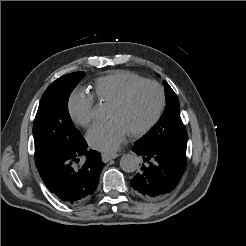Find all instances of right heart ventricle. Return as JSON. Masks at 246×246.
<instances>
[{
	"label": "right heart ventricle",
	"mask_w": 246,
	"mask_h": 246,
	"mask_svg": "<svg viewBox=\"0 0 246 246\" xmlns=\"http://www.w3.org/2000/svg\"><path fill=\"white\" fill-rule=\"evenodd\" d=\"M141 80L137 74L114 71L95 80L93 95L99 102L110 105L129 85Z\"/></svg>",
	"instance_id": "e07e8e85"
}]
</instances>
